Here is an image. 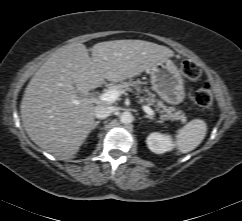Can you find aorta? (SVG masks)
<instances>
[{"mask_svg": "<svg viewBox=\"0 0 242 221\" xmlns=\"http://www.w3.org/2000/svg\"><path fill=\"white\" fill-rule=\"evenodd\" d=\"M133 120V116L130 112H123L120 115V122L123 124H130Z\"/></svg>", "mask_w": 242, "mask_h": 221, "instance_id": "762f6f07", "label": "aorta"}]
</instances>
